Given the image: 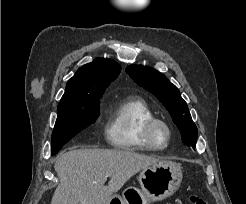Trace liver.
I'll use <instances>...</instances> for the list:
<instances>
[{
    "label": "liver",
    "mask_w": 246,
    "mask_h": 204,
    "mask_svg": "<svg viewBox=\"0 0 246 204\" xmlns=\"http://www.w3.org/2000/svg\"><path fill=\"white\" fill-rule=\"evenodd\" d=\"M158 162L128 150H70L55 162L60 183L51 204H106L133 175Z\"/></svg>",
    "instance_id": "liver-1"
}]
</instances>
